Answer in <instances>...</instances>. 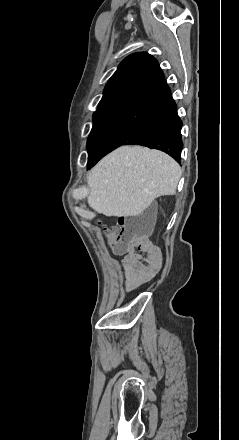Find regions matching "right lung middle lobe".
Here are the masks:
<instances>
[{"instance_id": "obj_1", "label": "right lung middle lobe", "mask_w": 239, "mask_h": 440, "mask_svg": "<svg viewBox=\"0 0 239 440\" xmlns=\"http://www.w3.org/2000/svg\"><path fill=\"white\" fill-rule=\"evenodd\" d=\"M130 99H116L98 105L93 114V128L87 140L88 154L91 155L97 148L102 137L114 125Z\"/></svg>"}]
</instances>
